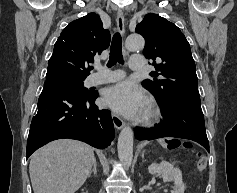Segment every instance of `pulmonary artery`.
Returning <instances> with one entry per match:
<instances>
[{
  "label": "pulmonary artery",
  "instance_id": "obj_1",
  "mask_svg": "<svg viewBox=\"0 0 237 193\" xmlns=\"http://www.w3.org/2000/svg\"><path fill=\"white\" fill-rule=\"evenodd\" d=\"M129 67L131 70L140 71L145 67V60L143 57L132 56L129 59ZM97 69L100 71L97 74H94L90 77V85H99L104 83H110L119 81L124 77V72L122 70L110 71L101 66H98Z\"/></svg>",
  "mask_w": 237,
  "mask_h": 193
}]
</instances>
